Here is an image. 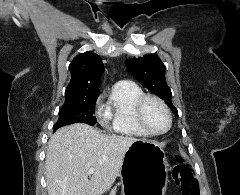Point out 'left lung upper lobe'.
<instances>
[{
  "label": "left lung upper lobe",
  "instance_id": "5c2ea615",
  "mask_svg": "<svg viewBox=\"0 0 240 195\" xmlns=\"http://www.w3.org/2000/svg\"><path fill=\"white\" fill-rule=\"evenodd\" d=\"M126 66L136 80L164 100L173 113L178 114L171 101V90L166 83L165 67L157 56L150 54L131 58L126 61Z\"/></svg>",
  "mask_w": 240,
  "mask_h": 195
}]
</instances>
